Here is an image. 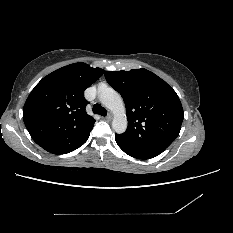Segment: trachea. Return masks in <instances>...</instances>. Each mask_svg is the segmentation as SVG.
<instances>
[{
	"label": "trachea",
	"mask_w": 233,
	"mask_h": 233,
	"mask_svg": "<svg viewBox=\"0 0 233 233\" xmlns=\"http://www.w3.org/2000/svg\"><path fill=\"white\" fill-rule=\"evenodd\" d=\"M93 113L94 114H99L101 116H106L107 115V111L104 107H102L100 104H95L93 106Z\"/></svg>",
	"instance_id": "trachea-1"
}]
</instances>
